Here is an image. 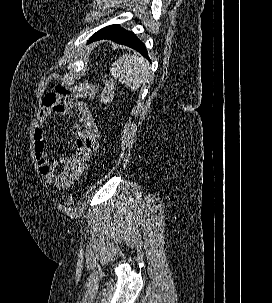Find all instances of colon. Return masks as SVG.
Masks as SVG:
<instances>
[{
    "mask_svg": "<svg viewBox=\"0 0 272 303\" xmlns=\"http://www.w3.org/2000/svg\"><path fill=\"white\" fill-rule=\"evenodd\" d=\"M104 90L100 95V98L98 100V105L99 106H105L107 104H109L113 97H114V91H115V84H114V80L111 76L106 75L104 78ZM74 202V197L73 195H68L66 198V203L68 205H72Z\"/></svg>",
    "mask_w": 272,
    "mask_h": 303,
    "instance_id": "obj_1",
    "label": "colon"
}]
</instances>
